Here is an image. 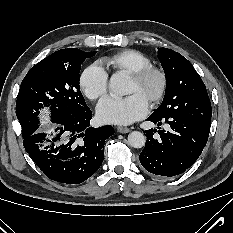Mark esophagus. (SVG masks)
I'll list each match as a JSON object with an SVG mask.
<instances>
[{
  "label": "esophagus",
  "mask_w": 233,
  "mask_h": 233,
  "mask_svg": "<svg viewBox=\"0 0 233 233\" xmlns=\"http://www.w3.org/2000/svg\"><path fill=\"white\" fill-rule=\"evenodd\" d=\"M117 131L119 133H123L124 134V133H128L130 131V129L127 128V127L119 126V127H117Z\"/></svg>",
  "instance_id": "34e87169"
}]
</instances>
